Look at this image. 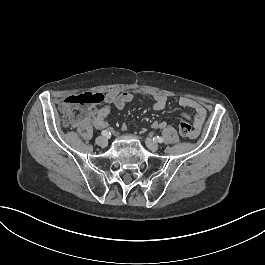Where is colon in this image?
<instances>
[{"mask_svg":"<svg viewBox=\"0 0 265 265\" xmlns=\"http://www.w3.org/2000/svg\"><path fill=\"white\" fill-rule=\"evenodd\" d=\"M105 97L103 93L88 92V93H77L68 99L61 101L59 105V112L61 114V124L63 126H70L72 124V119L76 118L78 111L77 109L83 108L85 106H99L103 104ZM180 135L183 138H194L195 132L191 121L183 120L180 122L179 128Z\"/></svg>","mask_w":265,"mask_h":265,"instance_id":"colon-1","label":"colon"}]
</instances>
